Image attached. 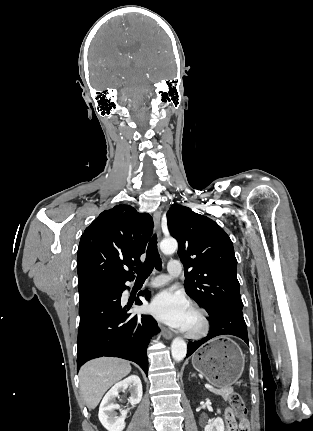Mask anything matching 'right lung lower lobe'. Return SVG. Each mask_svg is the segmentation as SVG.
Wrapping results in <instances>:
<instances>
[{
  "label": "right lung lower lobe",
  "instance_id": "obj_1",
  "mask_svg": "<svg viewBox=\"0 0 313 431\" xmlns=\"http://www.w3.org/2000/svg\"><path fill=\"white\" fill-rule=\"evenodd\" d=\"M93 283L78 288L80 324L77 340V371L88 360L111 356L137 363L147 374L146 348L159 332L157 322L148 315L135 314L131 303L124 305L121 296L126 281ZM149 299L148 290L141 293ZM135 305H142L135 298Z\"/></svg>",
  "mask_w": 313,
  "mask_h": 431
}]
</instances>
